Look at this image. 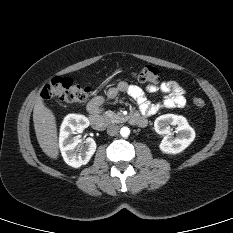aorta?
Returning <instances> with one entry per match:
<instances>
[{
  "label": "aorta",
  "instance_id": "1",
  "mask_svg": "<svg viewBox=\"0 0 233 233\" xmlns=\"http://www.w3.org/2000/svg\"><path fill=\"white\" fill-rule=\"evenodd\" d=\"M120 134L123 137H128L130 134V129L128 127H122L120 130Z\"/></svg>",
  "mask_w": 233,
  "mask_h": 233
}]
</instances>
